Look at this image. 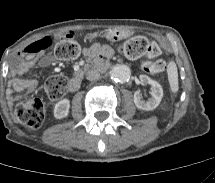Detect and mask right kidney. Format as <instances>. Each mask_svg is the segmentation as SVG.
Returning a JSON list of instances; mask_svg holds the SVG:
<instances>
[{"label":"right kidney","mask_w":215,"mask_h":183,"mask_svg":"<svg viewBox=\"0 0 215 183\" xmlns=\"http://www.w3.org/2000/svg\"><path fill=\"white\" fill-rule=\"evenodd\" d=\"M70 109V101L67 98H64L57 102L54 106V116L57 119H62L67 117Z\"/></svg>","instance_id":"ca27d5eb"}]
</instances>
